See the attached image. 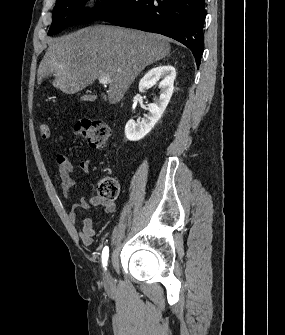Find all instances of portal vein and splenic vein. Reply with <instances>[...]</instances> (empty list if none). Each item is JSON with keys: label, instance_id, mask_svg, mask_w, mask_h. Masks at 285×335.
Segmentation results:
<instances>
[{"label": "portal vein and splenic vein", "instance_id": "obj_1", "mask_svg": "<svg viewBox=\"0 0 285 335\" xmlns=\"http://www.w3.org/2000/svg\"><path fill=\"white\" fill-rule=\"evenodd\" d=\"M99 82L100 84H110L111 78L110 76H106V74H104V76H100Z\"/></svg>", "mask_w": 285, "mask_h": 335}]
</instances>
